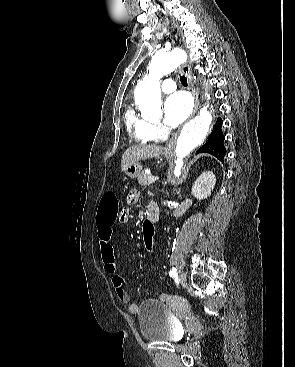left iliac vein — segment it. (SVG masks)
I'll return each mask as SVG.
<instances>
[{"instance_id":"left-iliac-vein-1","label":"left iliac vein","mask_w":295,"mask_h":367,"mask_svg":"<svg viewBox=\"0 0 295 367\" xmlns=\"http://www.w3.org/2000/svg\"><path fill=\"white\" fill-rule=\"evenodd\" d=\"M178 278H179V282L180 283H185L186 280H187V277H186V275L184 273H180L179 276H178Z\"/></svg>"}]
</instances>
